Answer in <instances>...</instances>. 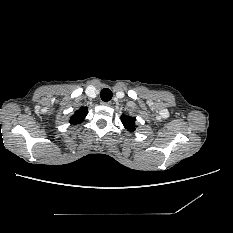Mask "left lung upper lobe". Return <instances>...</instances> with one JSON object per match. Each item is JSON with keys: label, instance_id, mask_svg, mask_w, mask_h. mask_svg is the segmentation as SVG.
<instances>
[{"label": "left lung upper lobe", "instance_id": "5c2ea615", "mask_svg": "<svg viewBox=\"0 0 233 233\" xmlns=\"http://www.w3.org/2000/svg\"><path fill=\"white\" fill-rule=\"evenodd\" d=\"M121 120H122L124 127L127 130H129L131 132L136 130V126H135L136 119L134 117L127 116V115L123 114L121 117Z\"/></svg>", "mask_w": 233, "mask_h": 233}]
</instances>
